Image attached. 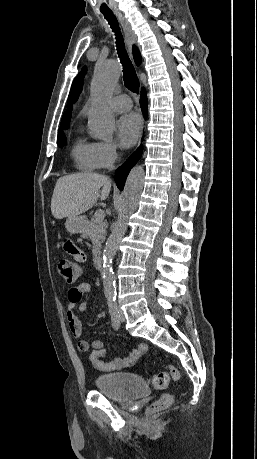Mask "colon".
Segmentation results:
<instances>
[{"mask_svg":"<svg viewBox=\"0 0 257 459\" xmlns=\"http://www.w3.org/2000/svg\"><path fill=\"white\" fill-rule=\"evenodd\" d=\"M58 270L60 275L68 284H73L77 281L81 275L80 264H70L69 260L63 259L59 261ZM170 379L178 381L181 379L180 371L174 366H166V370L163 372L152 375L149 379V385L155 389H164ZM173 402V396L170 394H164L154 402L151 407V412H159L169 407Z\"/></svg>","mask_w":257,"mask_h":459,"instance_id":"5ec220e1","label":"colon"}]
</instances>
